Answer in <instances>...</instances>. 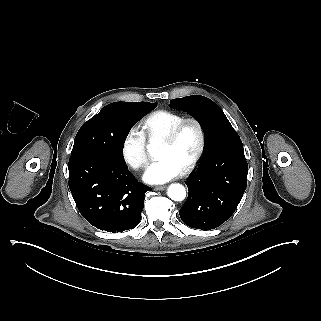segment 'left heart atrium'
<instances>
[{
	"mask_svg": "<svg viewBox=\"0 0 321 321\" xmlns=\"http://www.w3.org/2000/svg\"><path fill=\"white\" fill-rule=\"evenodd\" d=\"M182 173L183 169L176 159L168 155L146 168L144 180L150 184H163L181 176Z\"/></svg>",
	"mask_w": 321,
	"mask_h": 321,
	"instance_id": "left-heart-atrium-1",
	"label": "left heart atrium"
}]
</instances>
